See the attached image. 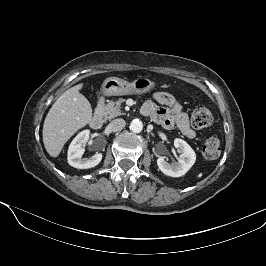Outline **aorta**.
I'll list each match as a JSON object with an SVG mask.
<instances>
[{
  "label": "aorta",
  "mask_w": 266,
  "mask_h": 266,
  "mask_svg": "<svg viewBox=\"0 0 266 266\" xmlns=\"http://www.w3.org/2000/svg\"><path fill=\"white\" fill-rule=\"evenodd\" d=\"M143 129V123L139 119H134L130 124V130L133 133H140Z\"/></svg>",
  "instance_id": "obj_1"
}]
</instances>
